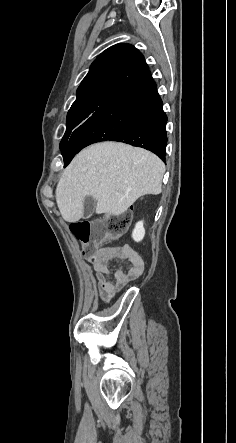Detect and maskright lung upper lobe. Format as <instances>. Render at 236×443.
I'll use <instances>...</instances> for the list:
<instances>
[{
  "label": "right lung upper lobe",
  "mask_w": 236,
  "mask_h": 443,
  "mask_svg": "<svg viewBox=\"0 0 236 443\" xmlns=\"http://www.w3.org/2000/svg\"><path fill=\"white\" fill-rule=\"evenodd\" d=\"M149 71L144 56L130 44L120 43L106 49L92 63L77 90L72 106L90 98L122 91Z\"/></svg>",
  "instance_id": "right-lung-upper-lobe-1"
}]
</instances>
